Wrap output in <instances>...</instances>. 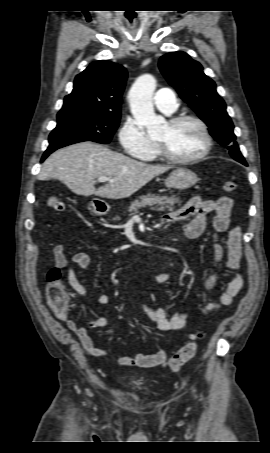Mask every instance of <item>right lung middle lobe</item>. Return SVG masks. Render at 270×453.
Returning a JSON list of instances; mask_svg holds the SVG:
<instances>
[{"instance_id":"1","label":"right lung middle lobe","mask_w":270,"mask_h":453,"mask_svg":"<svg viewBox=\"0 0 270 453\" xmlns=\"http://www.w3.org/2000/svg\"><path fill=\"white\" fill-rule=\"evenodd\" d=\"M120 116L80 112L57 117V126L49 136L48 148H61L82 141L110 142Z\"/></svg>"}]
</instances>
